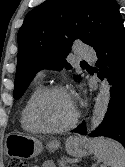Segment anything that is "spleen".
Returning a JSON list of instances; mask_svg holds the SVG:
<instances>
[{
  "label": "spleen",
  "mask_w": 125,
  "mask_h": 167,
  "mask_svg": "<svg viewBox=\"0 0 125 167\" xmlns=\"http://www.w3.org/2000/svg\"><path fill=\"white\" fill-rule=\"evenodd\" d=\"M99 161L110 167H125V149L109 138H95L90 142Z\"/></svg>",
  "instance_id": "spleen-1"
}]
</instances>
